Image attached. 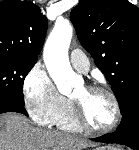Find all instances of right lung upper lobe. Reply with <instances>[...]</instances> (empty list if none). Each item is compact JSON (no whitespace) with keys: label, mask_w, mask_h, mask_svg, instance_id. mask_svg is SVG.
I'll list each match as a JSON object with an SVG mask.
<instances>
[{"label":"right lung upper lobe","mask_w":139,"mask_h":150,"mask_svg":"<svg viewBox=\"0 0 139 150\" xmlns=\"http://www.w3.org/2000/svg\"><path fill=\"white\" fill-rule=\"evenodd\" d=\"M47 18L29 1L0 2V53L37 60L46 31Z\"/></svg>","instance_id":"cb5924a9"}]
</instances>
